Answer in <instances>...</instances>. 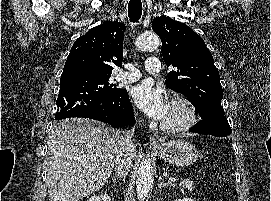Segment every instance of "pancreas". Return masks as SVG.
<instances>
[{"label":"pancreas","mask_w":271,"mask_h":201,"mask_svg":"<svg viewBox=\"0 0 271 201\" xmlns=\"http://www.w3.org/2000/svg\"><path fill=\"white\" fill-rule=\"evenodd\" d=\"M179 186L182 187V189H188L189 191H194L193 182L189 180H180Z\"/></svg>","instance_id":"pancreas-1"}]
</instances>
